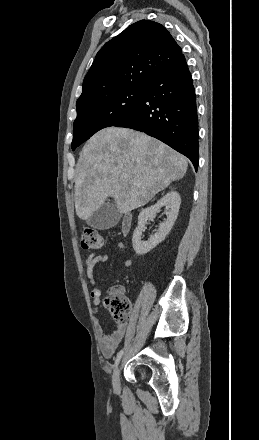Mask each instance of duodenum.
Instances as JSON below:
<instances>
[{"label":"duodenum","instance_id":"obj_1","mask_svg":"<svg viewBox=\"0 0 259 440\" xmlns=\"http://www.w3.org/2000/svg\"><path fill=\"white\" fill-rule=\"evenodd\" d=\"M132 214L127 213L123 219H122V223H121V230L123 232V234H128L131 227H132Z\"/></svg>","mask_w":259,"mask_h":440}]
</instances>
